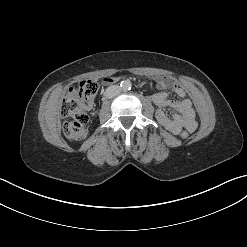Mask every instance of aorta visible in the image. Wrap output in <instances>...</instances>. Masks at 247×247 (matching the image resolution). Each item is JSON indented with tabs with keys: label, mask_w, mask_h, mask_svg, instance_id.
<instances>
[{
	"label": "aorta",
	"mask_w": 247,
	"mask_h": 247,
	"mask_svg": "<svg viewBox=\"0 0 247 247\" xmlns=\"http://www.w3.org/2000/svg\"><path fill=\"white\" fill-rule=\"evenodd\" d=\"M120 86L122 90L127 91L131 89L132 84L130 80H124L121 82Z\"/></svg>",
	"instance_id": "aorta-1"
}]
</instances>
